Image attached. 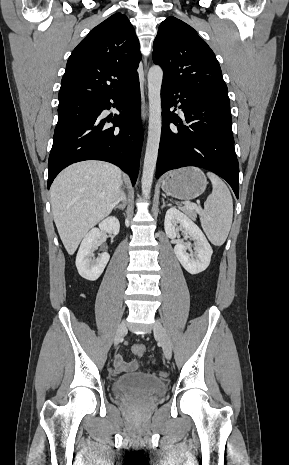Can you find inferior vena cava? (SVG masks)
I'll list each match as a JSON object with an SVG mask.
<instances>
[{
  "label": "inferior vena cava",
  "mask_w": 289,
  "mask_h": 465,
  "mask_svg": "<svg viewBox=\"0 0 289 465\" xmlns=\"http://www.w3.org/2000/svg\"><path fill=\"white\" fill-rule=\"evenodd\" d=\"M118 200H123V201L126 200V196H125V194L123 192H121L120 197H119Z\"/></svg>",
  "instance_id": "obj_1"
}]
</instances>
